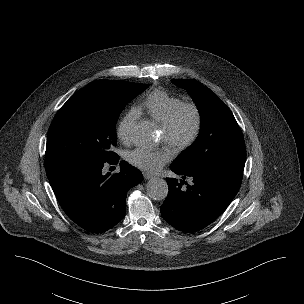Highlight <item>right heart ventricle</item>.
<instances>
[{
  "mask_svg": "<svg viewBox=\"0 0 304 304\" xmlns=\"http://www.w3.org/2000/svg\"><path fill=\"white\" fill-rule=\"evenodd\" d=\"M181 103L182 100L179 97L171 95L165 90L155 89L139 100L135 110L162 125Z\"/></svg>",
  "mask_w": 304,
  "mask_h": 304,
  "instance_id": "e07e8e85",
  "label": "right heart ventricle"
}]
</instances>
